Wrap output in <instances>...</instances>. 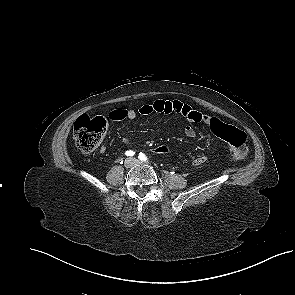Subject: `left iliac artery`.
<instances>
[{"label":"left iliac artery","mask_w":295,"mask_h":295,"mask_svg":"<svg viewBox=\"0 0 295 295\" xmlns=\"http://www.w3.org/2000/svg\"><path fill=\"white\" fill-rule=\"evenodd\" d=\"M138 157L141 161H148V158L144 153H140Z\"/></svg>","instance_id":"44dca946"}]
</instances>
